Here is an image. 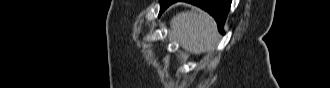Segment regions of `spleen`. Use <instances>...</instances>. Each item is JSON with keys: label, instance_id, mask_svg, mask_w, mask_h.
I'll list each match as a JSON object with an SVG mask.
<instances>
[{"label": "spleen", "instance_id": "3e777b00", "mask_svg": "<svg viewBox=\"0 0 330 88\" xmlns=\"http://www.w3.org/2000/svg\"><path fill=\"white\" fill-rule=\"evenodd\" d=\"M169 39L194 54L209 51L218 42L214 19L201 10L181 12L171 20Z\"/></svg>", "mask_w": 330, "mask_h": 88}]
</instances>
